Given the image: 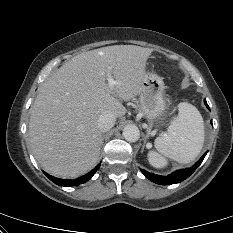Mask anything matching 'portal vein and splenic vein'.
Wrapping results in <instances>:
<instances>
[{"label": "portal vein and splenic vein", "mask_w": 233, "mask_h": 233, "mask_svg": "<svg viewBox=\"0 0 233 233\" xmlns=\"http://www.w3.org/2000/svg\"><path fill=\"white\" fill-rule=\"evenodd\" d=\"M107 80H108V85L110 87H112L116 84V81L114 80V78L111 75H108Z\"/></svg>", "instance_id": "obj_1"}]
</instances>
